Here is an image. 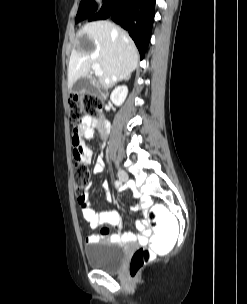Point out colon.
<instances>
[{
    "label": "colon",
    "mask_w": 247,
    "mask_h": 304,
    "mask_svg": "<svg viewBox=\"0 0 247 304\" xmlns=\"http://www.w3.org/2000/svg\"><path fill=\"white\" fill-rule=\"evenodd\" d=\"M102 107L101 98L92 93L73 94L69 100V120L77 130L82 119L97 114ZM89 183L87 165L73 162L74 190L81 201ZM148 215L151 234L149 246L138 248L132 255L129 265L130 275L135 278L141 269L151 261L152 253H172L175 240L178 238V220L176 214H170L166 206H151Z\"/></svg>",
    "instance_id": "obj_1"
}]
</instances>
